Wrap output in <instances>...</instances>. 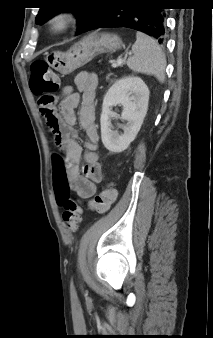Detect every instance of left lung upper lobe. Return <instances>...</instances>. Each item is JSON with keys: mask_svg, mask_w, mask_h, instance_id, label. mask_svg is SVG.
Wrapping results in <instances>:
<instances>
[{"mask_svg": "<svg viewBox=\"0 0 213 338\" xmlns=\"http://www.w3.org/2000/svg\"><path fill=\"white\" fill-rule=\"evenodd\" d=\"M104 0H74L68 1L72 4H86L78 7H56L52 0H42V6L40 7L39 13L36 17V23H43L48 20L50 17L54 16L56 13L61 10H72L78 18V30L77 34H80L89 21L96 15L99 11Z\"/></svg>", "mask_w": 213, "mask_h": 338, "instance_id": "1", "label": "left lung upper lobe"}]
</instances>
